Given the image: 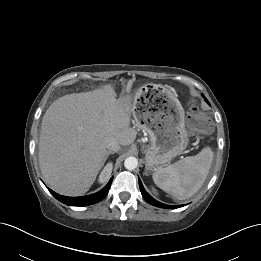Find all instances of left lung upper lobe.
<instances>
[{
    "instance_id": "left-lung-upper-lobe-1",
    "label": "left lung upper lobe",
    "mask_w": 261,
    "mask_h": 261,
    "mask_svg": "<svg viewBox=\"0 0 261 261\" xmlns=\"http://www.w3.org/2000/svg\"><path fill=\"white\" fill-rule=\"evenodd\" d=\"M205 101L208 102V100L205 98ZM209 103V102H208Z\"/></svg>"
}]
</instances>
